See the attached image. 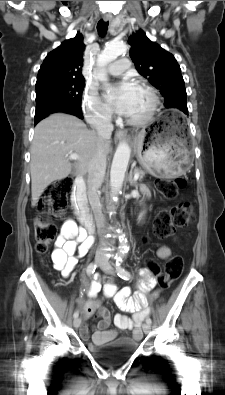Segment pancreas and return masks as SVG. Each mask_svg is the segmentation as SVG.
I'll return each mask as SVG.
<instances>
[{"mask_svg": "<svg viewBox=\"0 0 225 395\" xmlns=\"http://www.w3.org/2000/svg\"><path fill=\"white\" fill-rule=\"evenodd\" d=\"M134 173H138L139 174V180H142L144 175H145V171L142 170L141 168H135L134 169Z\"/></svg>", "mask_w": 225, "mask_h": 395, "instance_id": "obj_1", "label": "pancreas"}]
</instances>
